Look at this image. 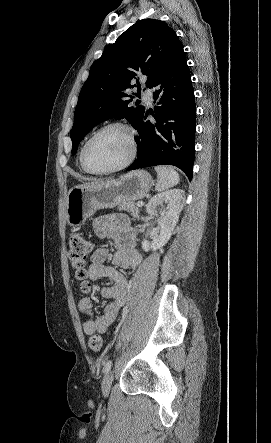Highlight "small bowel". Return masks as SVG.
<instances>
[{"label": "small bowel", "instance_id": "c3829d8e", "mask_svg": "<svg viewBox=\"0 0 271 443\" xmlns=\"http://www.w3.org/2000/svg\"><path fill=\"white\" fill-rule=\"evenodd\" d=\"M94 232L100 239L111 240L115 245L113 263L123 269H136L141 263V255L135 248L136 234L128 219L123 215H107L94 221ZM109 256L108 249L98 248L92 255L87 270V278L96 281L108 278L113 285L100 289L101 295L108 300L101 315L92 319L93 302L84 297L78 303V309L87 319L83 323L85 334L106 333L116 321L121 309L126 303L129 278L115 267L105 264Z\"/></svg>", "mask_w": 271, "mask_h": 443}]
</instances>
